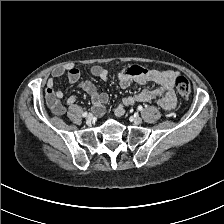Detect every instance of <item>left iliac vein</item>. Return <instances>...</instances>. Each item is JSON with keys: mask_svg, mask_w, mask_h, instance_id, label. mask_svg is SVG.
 Masks as SVG:
<instances>
[{"mask_svg": "<svg viewBox=\"0 0 224 224\" xmlns=\"http://www.w3.org/2000/svg\"><path fill=\"white\" fill-rule=\"evenodd\" d=\"M131 120H132L135 124H141V123H142V119H141L139 116L132 117Z\"/></svg>", "mask_w": 224, "mask_h": 224, "instance_id": "4c4485c4", "label": "left iliac vein"}]
</instances>
